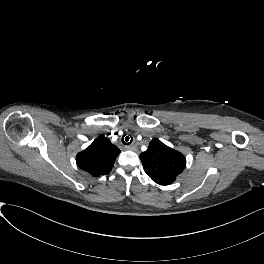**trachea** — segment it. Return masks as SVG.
<instances>
[{
  "label": "trachea",
  "mask_w": 264,
  "mask_h": 264,
  "mask_svg": "<svg viewBox=\"0 0 264 264\" xmlns=\"http://www.w3.org/2000/svg\"><path fill=\"white\" fill-rule=\"evenodd\" d=\"M133 141L132 136H126L122 138V143L125 145L131 144Z\"/></svg>",
  "instance_id": "1"
}]
</instances>
